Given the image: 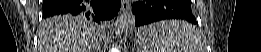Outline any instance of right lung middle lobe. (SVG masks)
Returning <instances> with one entry per match:
<instances>
[{
  "mask_svg": "<svg viewBox=\"0 0 261 52\" xmlns=\"http://www.w3.org/2000/svg\"><path fill=\"white\" fill-rule=\"evenodd\" d=\"M71 16V15H70ZM76 19V20H81V21H88L89 23H91L95 28H101V23L97 22L96 20L90 18V17H86V16H77V15H73L71 17H63L62 20H71V19Z\"/></svg>",
  "mask_w": 261,
  "mask_h": 52,
  "instance_id": "dd1d6c3e",
  "label": "right lung middle lobe"
}]
</instances>
